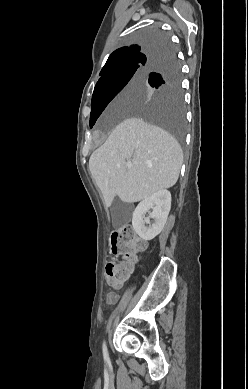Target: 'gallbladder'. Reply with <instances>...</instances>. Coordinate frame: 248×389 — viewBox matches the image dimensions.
<instances>
[{
  "label": "gallbladder",
  "instance_id": "bac80fb5",
  "mask_svg": "<svg viewBox=\"0 0 248 389\" xmlns=\"http://www.w3.org/2000/svg\"><path fill=\"white\" fill-rule=\"evenodd\" d=\"M113 213L117 215L119 223L127 222L129 218V211L131 209V205L127 203H123L119 198L114 199L112 203Z\"/></svg>",
  "mask_w": 248,
  "mask_h": 389
}]
</instances>
